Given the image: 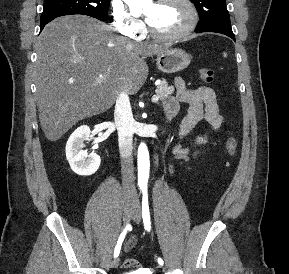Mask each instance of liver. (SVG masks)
Segmentation results:
<instances>
[{
  "mask_svg": "<svg viewBox=\"0 0 289 274\" xmlns=\"http://www.w3.org/2000/svg\"><path fill=\"white\" fill-rule=\"evenodd\" d=\"M35 48L39 120L50 141L59 140L80 120L111 108L122 90L138 92L148 76L143 58L167 49L131 42L84 15L47 24Z\"/></svg>",
  "mask_w": 289,
  "mask_h": 274,
  "instance_id": "liver-1",
  "label": "liver"
}]
</instances>
